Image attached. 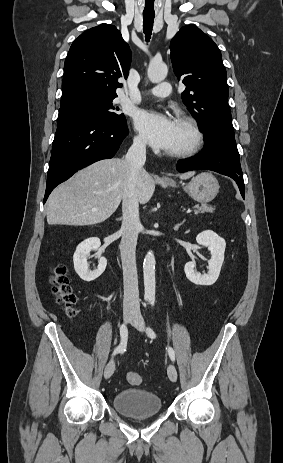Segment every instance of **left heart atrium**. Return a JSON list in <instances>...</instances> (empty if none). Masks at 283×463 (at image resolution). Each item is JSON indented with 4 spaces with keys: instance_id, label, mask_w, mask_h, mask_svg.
Listing matches in <instances>:
<instances>
[{
    "instance_id": "left-heart-atrium-1",
    "label": "left heart atrium",
    "mask_w": 283,
    "mask_h": 463,
    "mask_svg": "<svg viewBox=\"0 0 283 463\" xmlns=\"http://www.w3.org/2000/svg\"><path fill=\"white\" fill-rule=\"evenodd\" d=\"M136 127L144 139L155 149L168 150L173 142L175 121L153 111H140Z\"/></svg>"
}]
</instances>
